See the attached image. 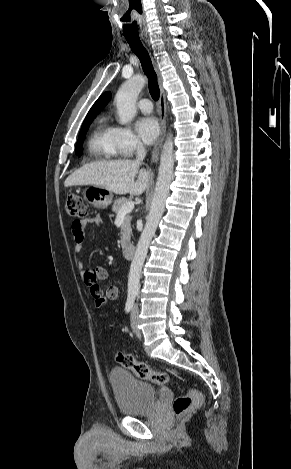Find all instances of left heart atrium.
Instances as JSON below:
<instances>
[{
  "instance_id": "obj_1",
  "label": "left heart atrium",
  "mask_w": 291,
  "mask_h": 469,
  "mask_svg": "<svg viewBox=\"0 0 291 469\" xmlns=\"http://www.w3.org/2000/svg\"><path fill=\"white\" fill-rule=\"evenodd\" d=\"M136 128L145 143L150 144L156 140L159 135V125L152 116L140 118L136 123Z\"/></svg>"
}]
</instances>
